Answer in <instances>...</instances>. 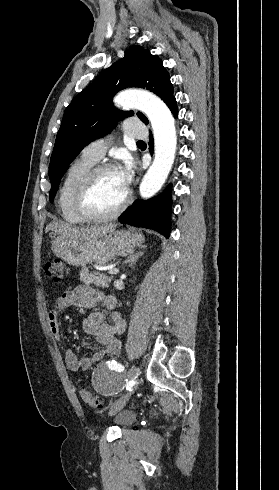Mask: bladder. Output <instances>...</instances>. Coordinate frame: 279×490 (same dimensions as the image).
<instances>
[{"label":"bladder","mask_w":279,"mask_h":490,"mask_svg":"<svg viewBox=\"0 0 279 490\" xmlns=\"http://www.w3.org/2000/svg\"><path fill=\"white\" fill-rule=\"evenodd\" d=\"M136 420V415L131 410H122L114 415L113 423L120 426H129Z\"/></svg>","instance_id":"obj_1"}]
</instances>
